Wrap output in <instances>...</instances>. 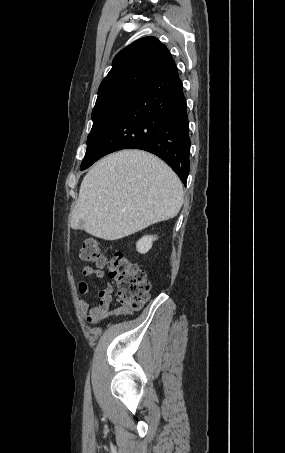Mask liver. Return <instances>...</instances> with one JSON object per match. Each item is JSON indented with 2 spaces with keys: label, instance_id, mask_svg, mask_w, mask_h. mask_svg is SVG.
Listing matches in <instances>:
<instances>
[{
  "label": "liver",
  "instance_id": "1",
  "mask_svg": "<svg viewBox=\"0 0 285 453\" xmlns=\"http://www.w3.org/2000/svg\"><path fill=\"white\" fill-rule=\"evenodd\" d=\"M182 204V183L167 164L145 151L122 150L83 178L71 227L117 240L175 217Z\"/></svg>",
  "mask_w": 285,
  "mask_h": 453
}]
</instances>
